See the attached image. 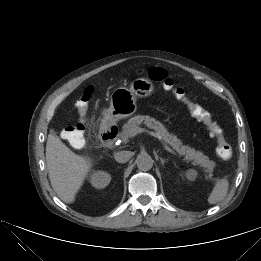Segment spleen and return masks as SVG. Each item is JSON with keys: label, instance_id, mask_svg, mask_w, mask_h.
Here are the masks:
<instances>
[{"label": "spleen", "instance_id": "spleen-1", "mask_svg": "<svg viewBox=\"0 0 261 261\" xmlns=\"http://www.w3.org/2000/svg\"><path fill=\"white\" fill-rule=\"evenodd\" d=\"M229 189L227 177L217 180L208 197L209 204H217L225 199Z\"/></svg>", "mask_w": 261, "mask_h": 261}]
</instances>
